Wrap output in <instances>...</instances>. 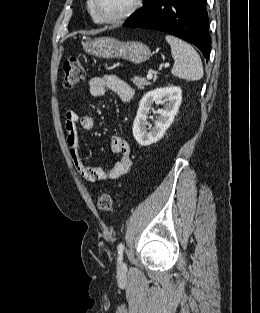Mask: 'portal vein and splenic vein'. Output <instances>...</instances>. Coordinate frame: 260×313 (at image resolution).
Wrapping results in <instances>:
<instances>
[{
    "instance_id": "1",
    "label": "portal vein and splenic vein",
    "mask_w": 260,
    "mask_h": 313,
    "mask_svg": "<svg viewBox=\"0 0 260 313\" xmlns=\"http://www.w3.org/2000/svg\"><path fill=\"white\" fill-rule=\"evenodd\" d=\"M152 77H153V73H148L147 74V79H152Z\"/></svg>"
}]
</instances>
